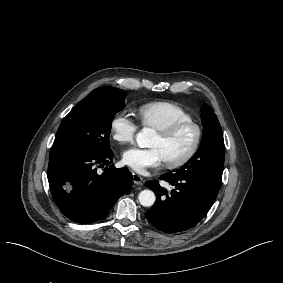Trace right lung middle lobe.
<instances>
[{"instance_id": "obj_1", "label": "right lung middle lobe", "mask_w": 283, "mask_h": 283, "mask_svg": "<svg viewBox=\"0 0 283 283\" xmlns=\"http://www.w3.org/2000/svg\"><path fill=\"white\" fill-rule=\"evenodd\" d=\"M125 92L101 87L90 92L63 119L50 153L90 150L108 153L110 130L115 113L125 104Z\"/></svg>"}]
</instances>
